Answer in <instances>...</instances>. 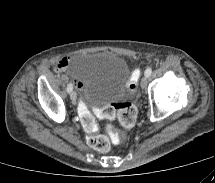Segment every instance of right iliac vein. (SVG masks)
Returning <instances> with one entry per match:
<instances>
[{"label": "right iliac vein", "mask_w": 215, "mask_h": 183, "mask_svg": "<svg viewBox=\"0 0 215 183\" xmlns=\"http://www.w3.org/2000/svg\"><path fill=\"white\" fill-rule=\"evenodd\" d=\"M70 98H71V100H72L73 103L76 102L77 94H76L75 91H71Z\"/></svg>", "instance_id": "right-iliac-vein-1"}]
</instances>
